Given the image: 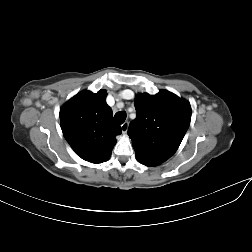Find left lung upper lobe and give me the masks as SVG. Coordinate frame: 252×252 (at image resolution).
<instances>
[{"label":"left lung upper lobe","instance_id":"5c2ea615","mask_svg":"<svg viewBox=\"0 0 252 252\" xmlns=\"http://www.w3.org/2000/svg\"><path fill=\"white\" fill-rule=\"evenodd\" d=\"M136 118L128 135L136 155L165 162L178 149L191 120L190 104L167 90L135 99Z\"/></svg>","mask_w":252,"mask_h":252}]
</instances>
